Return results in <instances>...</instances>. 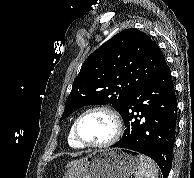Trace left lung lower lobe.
<instances>
[{
  "mask_svg": "<svg viewBox=\"0 0 194 178\" xmlns=\"http://www.w3.org/2000/svg\"><path fill=\"white\" fill-rule=\"evenodd\" d=\"M119 113L126 130L113 147L149 156L159 165L163 178H167L172 165L177 122V98L168 65L132 92Z\"/></svg>",
  "mask_w": 194,
  "mask_h": 178,
  "instance_id": "0a47b994",
  "label": "left lung lower lobe"
}]
</instances>
